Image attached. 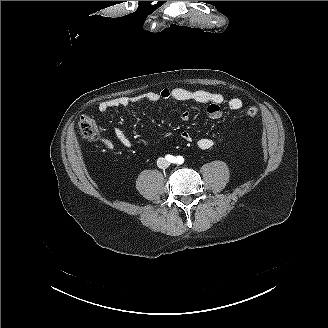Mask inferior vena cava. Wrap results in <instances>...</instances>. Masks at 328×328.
Returning <instances> with one entry per match:
<instances>
[{"instance_id":"1","label":"inferior vena cava","mask_w":328,"mask_h":328,"mask_svg":"<svg viewBox=\"0 0 328 328\" xmlns=\"http://www.w3.org/2000/svg\"><path fill=\"white\" fill-rule=\"evenodd\" d=\"M157 165L159 167L167 168L169 166V162L165 158H158Z\"/></svg>"}]
</instances>
